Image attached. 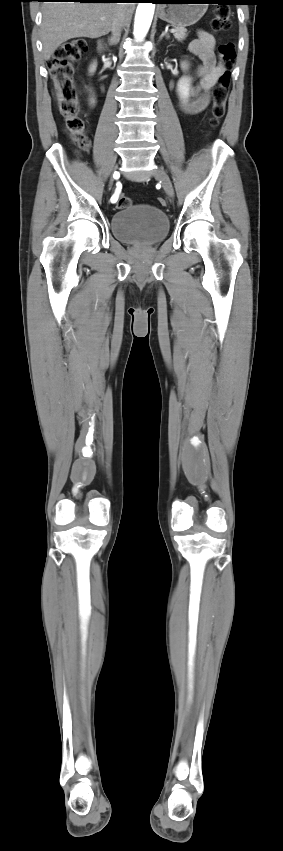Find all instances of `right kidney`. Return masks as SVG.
<instances>
[{
  "label": "right kidney",
  "instance_id": "1",
  "mask_svg": "<svg viewBox=\"0 0 283 851\" xmlns=\"http://www.w3.org/2000/svg\"><path fill=\"white\" fill-rule=\"evenodd\" d=\"M95 70H96V62H94V63L91 65V67H90V70H89V71H90L91 73H93ZM90 101H91V104H94V103H95L94 98H92Z\"/></svg>",
  "mask_w": 283,
  "mask_h": 851
}]
</instances>
